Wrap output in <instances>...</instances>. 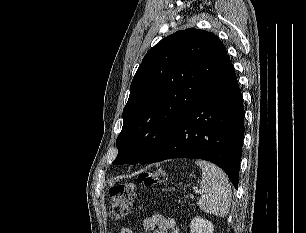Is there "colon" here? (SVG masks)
Listing matches in <instances>:
<instances>
[{"label": "colon", "mask_w": 306, "mask_h": 233, "mask_svg": "<svg viewBox=\"0 0 306 233\" xmlns=\"http://www.w3.org/2000/svg\"><path fill=\"white\" fill-rule=\"evenodd\" d=\"M164 179L165 172L161 168L142 173L139 176L140 182L146 187H155L162 183ZM135 189V184L132 182L116 183L109 188L111 197L109 216L112 220H120L129 213L135 197Z\"/></svg>", "instance_id": "5ec220e1"}]
</instances>
